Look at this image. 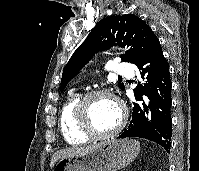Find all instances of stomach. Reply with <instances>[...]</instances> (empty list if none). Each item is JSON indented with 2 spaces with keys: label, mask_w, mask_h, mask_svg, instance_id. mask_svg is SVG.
<instances>
[{
  "label": "stomach",
  "mask_w": 199,
  "mask_h": 171,
  "mask_svg": "<svg viewBox=\"0 0 199 171\" xmlns=\"http://www.w3.org/2000/svg\"><path fill=\"white\" fill-rule=\"evenodd\" d=\"M133 139H108L94 150L57 162L53 171H117L130 164L139 153Z\"/></svg>",
  "instance_id": "1"
}]
</instances>
